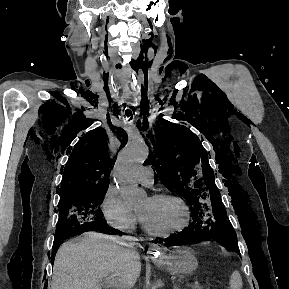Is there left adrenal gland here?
Listing matches in <instances>:
<instances>
[{
    "label": "left adrenal gland",
    "mask_w": 289,
    "mask_h": 289,
    "mask_svg": "<svg viewBox=\"0 0 289 289\" xmlns=\"http://www.w3.org/2000/svg\"><path fill=\"white\" fill-rule=\"evenodd\" d=\"M173 289H180V288H179V285L175 284L174 287H173Z\"/></svg>",
    "instance_id": "obj_1"
}]
</instances>
